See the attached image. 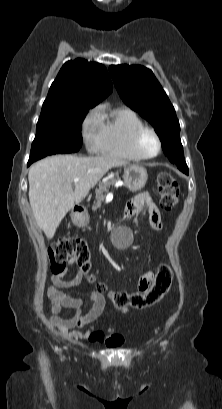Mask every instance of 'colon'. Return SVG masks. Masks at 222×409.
<instances>
[{
  "label": "colon",
  "instance_id": "colon-1",
  "mask_svg": "<svg viewBox=\"0 0 222 409\" xmlns=\"http://www.w3.org/2000/svg\"><path fill=\"white\" fill-rule=\"evenodd\" d=\"M157 192L159 205L165 211H170L179 199V185L177 180L169 173L162 172L157 177ZM51 270L54 274L61 273L66 269L71 260H75L80 271L95 283L97 292L107 293L111 303L117 309L132 307L135 309L147 308L156 303L169 289L173 271L166 265H161L154 274L150 285H143L137 291L127 292L124 290L108 291L103 282L96 280L91 273L92 257L91 251L83 239L61 238L51 246L49 250ZM119 336L113 335L110 341Z\"/></svg>",
  "mask_w": 222,
  "mask_h": 409
}]
</instances>
